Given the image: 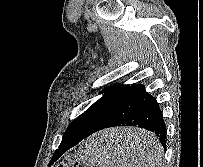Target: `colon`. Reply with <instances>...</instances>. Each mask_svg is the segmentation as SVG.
I'll return each instance as SVG.
<instances>
[{
    "instance_id": "obj_1",
    "label": "colon",
    "mask_w": 203,
    "mask_h": 167,
    "mask_svg": "<svg viewBox=\"0 0 203 167\" xmlns=\"http://www.w3.org/2000/svg\"><path fill=\"white\" fill-rule=\"evenodd\" d=\"M59 167H91L90 165L80 161L76 157L69 156Z\"/></svg>"
}]
</instances>
